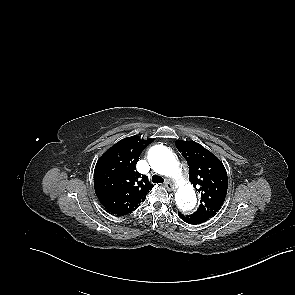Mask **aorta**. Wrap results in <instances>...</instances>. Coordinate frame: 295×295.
I'll return each mask as SVG.
<instances>
[{
  "mask_svg": "<svg viewBox=\"0 0 295 295\" xmlns=\"http://www.w3.org/2000/svg\"><path fill=\"white\" fill-rule=\"evenodd\" d=\"M148 161L156 172L176 181L179 186L175 194L177 207L182 212H191L197 203L196 194L192 185L183 177L180 165L172 151L163 145H155L149 150Z\"/></svg>",
  "mask_w": 295,
  "mask_h": 295,
  "instance_id": "762f6f07",
  "label": "aorta"
}]
</instances>
